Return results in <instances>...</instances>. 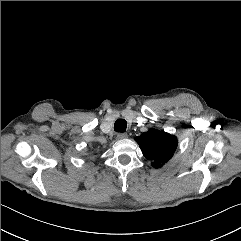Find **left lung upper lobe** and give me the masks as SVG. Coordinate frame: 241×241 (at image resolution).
<instances>
[{
  "label": "left lung upper lobe",
  "mask_w": 241,
  "mask_h": 241,
  "mask_svg": "<svg viewBox=\"0 0 241 241\" xmlns=\"http://www.w3.org/2000/svg\"><path fill=\"white\" fill-rule=\"evenodd\" d=\"M143 155L152 161V166L159 168L171 159L177 147L175 136L154 129L135 138Z\"/></svg>",
  "instance_id": "1"
}]
</instances>
